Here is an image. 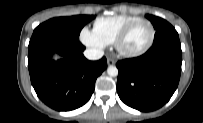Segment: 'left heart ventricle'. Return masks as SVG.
I'll list each match as a JSON object with an SVG mask.
<instances>
[{"label": "left heart ventricle", "mask_w": 203, "mask_h": 123, "mask_svg": "<svg viewBox=\"0 0 203 123\" xmlns=\"http://www.w3.org/2000/svg\"><path fill=\"white\" fill-rule=\"evenodd\" d=\"M151 29L146 23L137 24L127 36L123 47L128 51H136L143 48L149 41Z\"/></svg>", "instance_id": "b2bd125f"}]
</instances>
